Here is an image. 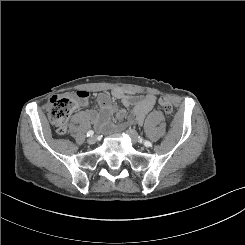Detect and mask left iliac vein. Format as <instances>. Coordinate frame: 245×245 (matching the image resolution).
Masks as SVG:
<instances>
[{"instance_id": "4c4485c4", "label": "left iliac vein", "mask_w": 245, "mask_h": 245, "mask_svg": "<svg viewBox=\"0 0 245 245\" xmlns=\"http://www.w3.org/2000/svg\"><path fill=\"white\" fill-rule=\"evenodd\" d=\"M126 132L130 136V138L133 141V143H137L139 141L138 135H137L135 130L128 129Z\"/></svg>"}]
</instances>
